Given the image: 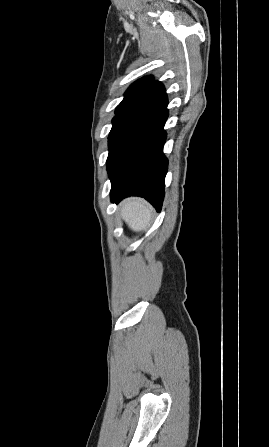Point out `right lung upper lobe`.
<instances>
[{
    "label": "right lung upper lobe",
    "mask_w": 269,
    "mask_h": 447,
    "mask_svg": "<svg viewBox=\"0 0 269 447\" xmlns=\"http://www.w3.org/2000/svg\"><path fill=\"white\" fill-rule=\"evenodd\" d=\"M164 93V86L160 82L154 81L152 76L141 78L125 92V97L117 106L116 113L129 115L148 106Z\"/></svg>",
    "instance_id": "right-lung-upper-lobe-1"
}]
</instances>
